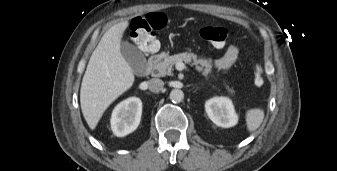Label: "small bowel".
Wrapping results in <instances>:
<instances>
[{"label": "small bowel", "mask_w": 337, "mask_h": 171, "mask_svg": "<svg viewBox=\"0 0 337 171\" xmlns=\"http://www.w3.org/2000/svg\"><path fill=\"white\" fill-rule=\"evenodd\" d=\"M239 57V49L232 45L230 46L226 53L214 62H210L219 71H228L237 61Z\"/></svg>", "instance_id": "c3829d8e"}]
</instances>
